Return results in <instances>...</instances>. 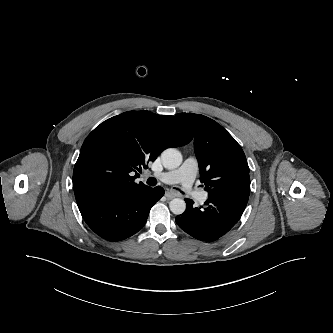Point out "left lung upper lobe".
<instances>
[{"mask_svg":"<svg viewBox=\"0 0 333 333\" xmlns=\"http://www.w3.org/2000/svg\"><path fill=\"white\" fill-rule=\"evenodd\" d=\"M177 116L193 132L200 179L206 191L226 180L249 175L242 148L221 125L199 114L180 113Z\"/></svg>","mask_w":333,"mask_h":333,"instance_id":"obj_1","label":"left lung upper lobe"}]
</instances>
